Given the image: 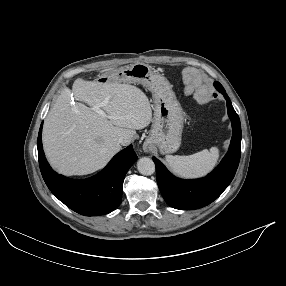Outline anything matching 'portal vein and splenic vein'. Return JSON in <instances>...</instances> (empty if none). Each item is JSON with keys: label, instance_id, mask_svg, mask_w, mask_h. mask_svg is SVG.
<instances>
[{"label": "portal vein and splenic vein", "instance_id": "18ae733b", "mask_svg": "<svg viewBox=\"0 0 286 286\" xmlns=\"http://www.w3.org/2000/svg\"><path fill=\"white\" fill-rule=\"evenodd\" d=\"M107 103L108 99L104 100L99 106H94L93 110L103 117L111 118L110 116L106 115L103 110L100 109V107L105 106Z\"/></svg>", "mask_w": 286, "mask_h": 286}]
</instances>
